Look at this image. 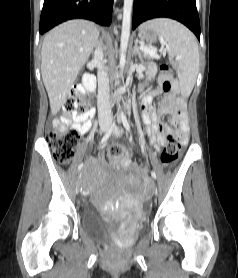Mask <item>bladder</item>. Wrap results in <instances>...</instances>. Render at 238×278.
I'll return each instance as SVG.
<instances>
[{
    "instance_id": "1",
    "label": "bladder",
    "mask_w": 238,
    "mask_h": 278,
    "mask_svg": "<svg viewBox=\"0 0 238 278\" xmlns=\"http://www.w3.org/2000/svg\"><path fill=\"white\" fill-rule=\"evenodd\" d=\"M118 221L105 218L93 207L85 208L82 215L81 226L83 231L90 237L105 243H115L119 239ZM145 229L144 222H138L127 236H136Z\"/></svg>"
}]
</instances>
